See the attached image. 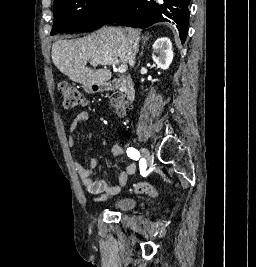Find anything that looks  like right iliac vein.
Returning a JSON list of instances; mask_svg holds the SVG:
<instances>
[{
  "instance_id": "obj_1",
  "label": "right iliac vein",
  "mask_w": 256,
  "mask_h": 267,
  "mask_svg": "<svg viewBox=\"0 0 256 267\" xmlns=\"http://www.w3.org/2000/svg\"><path fill=\"white\" fill-rule=\"evenodd\" d=\"M141 153H142V156H143V159L149 163V161L151 160V155H150V152L147 148L145 147H142L141 148Z\"/></svg>"
}]
</instances>
